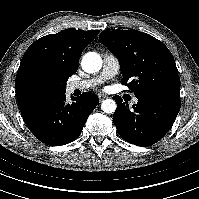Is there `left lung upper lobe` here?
<instances>
[{"instance_id":"1","label":"left lung upper lobe","mask_w":199,"mask_h":199,"mask_svg":"<svg viewBox=\"0 0 199 199\" xmlns=\"http://www.w3.org/2000/svg\"><path fill=\"white\" fill-rule=\"evenodd\" d=\"M99 41L119 60L122 84L135 96L180 101V79L168 48L153 36L137 30L103 31Z\"/></svg>"}]
</instances>
